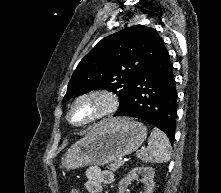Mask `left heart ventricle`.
<instances>
[{"instance_id":"1","label":"left heart ventricle","mask_w":221,"mask_h":193,"mask_svg":"<svg viewBox=\"0 0 221 193\" xmlns=\"http://www.w3.org/2000/svg\"><path fill=\"white\" fill-rule=\"evenodd\" d=\"M89 112V107L88 106H80L76 113H75V119L80 120L84 118Z\"/></svg>"}]
</instances>
